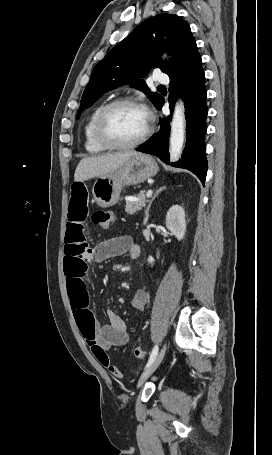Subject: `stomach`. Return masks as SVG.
Masks as SVG:
<instances>
[{
	"label": "stomach",
	"mask_w": 272,
	"mask_h": 455,
	"mask_svg": "<svg viewBox=\"0 0 272 455\" xmlns=\"http://www.w3.org/2000/svg\"><path fill=\"white\" fill-rule=\"evenodd\" d=\"M157 172L153 157L142 153L133 155L119 168L97 178L92 188L94 202L103 208L113 206L119 201L124 186L142 183Z\"/></svg>",
	"instance_id": "obj_1"
}]
</instances>
